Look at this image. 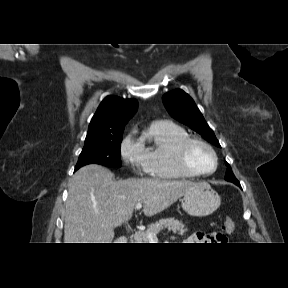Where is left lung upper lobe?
Listing matches in <instances>:
<instances>
[{"label": "left lung upper lobe", "mask_w": 288, "mask_h": 288, "mask_svg": "<svg viewBox=\"0 0 288 288\" xmlns=\"http://www.w3.org/2000/svg\"><path fill=\"white\" fill-rule=\"evenodd\" d=\"M163 103L169 114L179 122L198 132L208 142L220 147L213 130L208 126L193 99L183 90L176 89L163 95ZM225 180L238 181L228 163Z\"/></svg>", "instance_id": "5c2ea615"}]
</instances>
